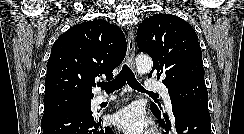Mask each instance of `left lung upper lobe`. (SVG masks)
<instances>
[{"label": "left lung upper lobe", "mask_w": 244, "mask_h": 134, "mask_svg": "<svg viewBox=\"0 0 244 134\" xmlns=\"http://www.w3.org/2000/svg\"><path fill=\"white\" fill-rule=\"evenodd\" d=\"M136 40L139 50L153 60L149 77L166 76L162 82L172 104L208 109L202 51L189 23L174 15L154 14L139 25ZM151 108L159 110L155 104Z\"/></svg>", "instance_id": "1"}]
</instances>
